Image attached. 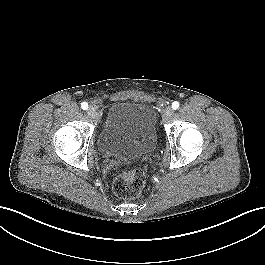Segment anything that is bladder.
I'll use <instances>...</instances> for the list:
<instances>
[{
	"instance_id": "bladder-1",
	"label": "bladder",
	"mask_w": 265,
	"mask_h": 265,
	"mask_svg": "<svg viewBox=\"0 0 265 265\" xmlns=\"http://www.w3.org/2000/svg\"><path fill=\"white\" fill-rule=\"evenodd\" d=\"M156 122L155 110L146 103L115 102L99 133L98 148L108 157L124 159L148 154L157 144Z\"/></svg>"
}]
</instances>
